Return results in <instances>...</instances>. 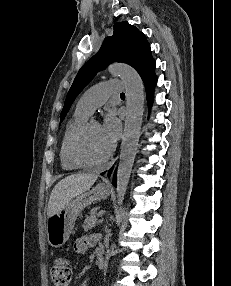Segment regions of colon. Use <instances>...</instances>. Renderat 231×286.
Listing matches in <instances>:
<instances>
[{
    "instance_id": "1",
    "label": "colon",
    "mask_w": 231,
    "mask_h": 286,
    "mask_svg": "<svg viewBox=\"0 0 231 286\" xmlns=\"http://www.w3.org/2000/svg\"><path fill=\"white\" fill-rule=\"evenodd\" d=\"M72 277L70 263L65 258H57L51 268V278L54 286H69Z\"/></svg>"
}]
</instances>
